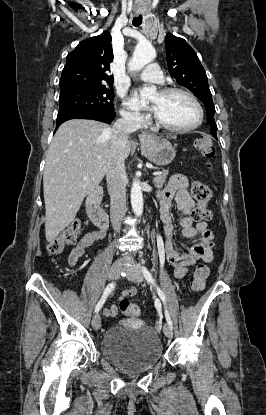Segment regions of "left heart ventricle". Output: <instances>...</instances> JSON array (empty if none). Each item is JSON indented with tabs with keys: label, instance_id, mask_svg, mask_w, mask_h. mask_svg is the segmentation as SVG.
Here are the masks:
<instances>
[{
	"label": "left heart ventricle",
	"instance_id": "obj_1",
	"mask_svg": "<svg viewBox=\"0 0 266 415\" xmlns=\"http://www.w3.org/2000/svg\"><path fill=\"white\" fill-rule=\"evenodd\" d=\"M155 114L166 124L187 127L198 119V111L193 102L181 94H156L152 98Z\"/></svg>",
	"mask_w": 266,
	"mask_h": 415
}]
</instances>
